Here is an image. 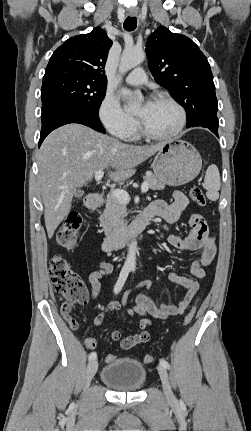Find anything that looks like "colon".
Wrapping results in <instances>:
<instances>
[{
    "label": "colon",
    "mask_w": 251,
    "mask_h": 431,
    "mask_svg": "<svg viewBox=\"0 0 251 431\" xmlns=\"http://www.w3.org/2000/svg\"><path fill=\"white\" fill-rule=\"evenodd\" d=\"M190 199L197 205L204 206L206 198L201 188L194 186L189 191ZM82 224L81 215L77 212L70 213L64 222L59 227L56 233V242L59 246L65 249H72L78 242L79 232ZM50 277L55 290L61 294L66 301L61 304L60 313L68 322L70 328L77 327V322L70 316L72 303L84 305L87 303L88 295L82 280L71 269L69 262L60 254H55L50 258ZM196 313V307L193 306L191 310L184 317L183 324L189 325ZM84 349H89L95 352L98 349L97 339L94 337H87L84 340ZM117 353H107L104 356L103 364L111 366L117 362ZM154 360L152 355H145L143 362L149 364Z\"/></svg>",
    "instance_id": "5ec220e1"
}]
</instances>
